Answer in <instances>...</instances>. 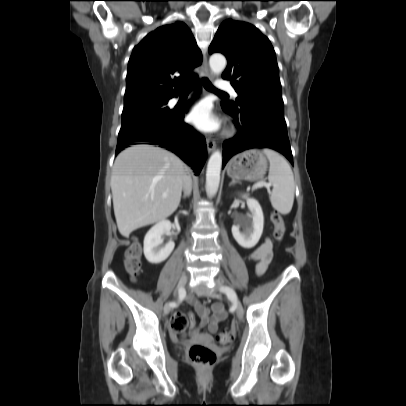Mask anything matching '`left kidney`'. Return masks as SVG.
I'll list each match as a JSON object with an SVG mask.
<instances>
[{
  "label": "left kidney",
  "mask_w": 406,
  "mask_h": 406,
  "mask_svg": "<svg viewBox=\"0 0 406 406\" xmlns=\"http://www.w3.org/2000/svg\"><path fill=\"white\" fill-rule=\"evenodd\" d=\"M250 210L249 216L243 219L241 224L232 226V234L237 243L245 248H253L259 241L264 227V216L259 202L253 198L243 195ZM243 228V232L240 228Z\"/></svg>",
  "instance_id": "1"
}]
</instances>
